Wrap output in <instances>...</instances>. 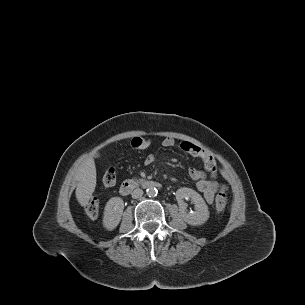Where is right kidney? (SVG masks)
Masks as SVG:
<instances>
[{
    "label": "right kidney",
    "instance_id": "right-kidney-1",
    "mask_svg": "<svg viewBox=\"0 0 305 305\" xmlns=\"http://www.w3.org/2000/svg\"><path fill=\"white\" fill-rule=\"evenodd\" d=\"M124 201L120 197L109 199L104 209L103 226L107 230L115 229L122 217Z\"/></svg>",
    "mask_w": 305,
    "mask_h": 305
}]
</instances>
